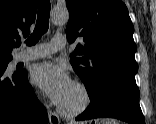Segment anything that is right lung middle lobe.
<instances>
[{
    "label": "right lung middle lobe",
    "instance_id": "obj_1",
    "mask_svg": "<svg viewBox=\"0 0 156 124\" xmlns=\"http://www.w3.org/2000/svg\"><path fill=\"white\" fill-rule=\"evenodd\" d=\"M10 60L11 59H3V60H0V63L8 64ZM16 73H20V72H16Z\"/></svg>",
    "mask_w": 156,
    "mask_h": 124
}]
</instances>
